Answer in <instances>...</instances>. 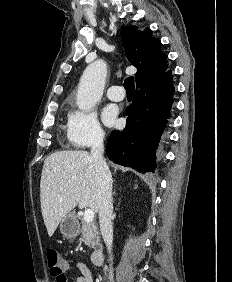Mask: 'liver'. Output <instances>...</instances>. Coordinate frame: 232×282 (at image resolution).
Instances as JSON below:
<instances>
[{"mask_svg":"<svg viewBox=\"0 0 232 282\" xmlns=\"http://www.w3.org/2000/svg\"><path fill=\"white\" fill-rule=\"evenodd\" d=\"M41 212L51 237L61 219L77 205L98 211L96 172L86 151L49 155L40 181Z\"/></svg>","mask_w":232,"mask_h":282,"instance_id":"obj_1","label":"liver"}]
</instances>
